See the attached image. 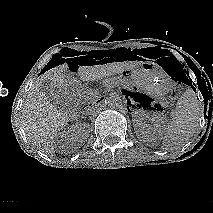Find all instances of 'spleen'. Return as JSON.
Wrapping results in <instances>:
<instances>
[{
    "label": "spleen",
    "instance_id": "spleen-1",
    "mask_svg": "<svg viewBox=\"0 0 213 213\" xmlns=\"http://www.w3.org/2000/svg\"><path fill=\"white\" fill-rule=\"evenodd\" d=\"M202 113V106L195 92L188 88L177 101L173 119L165 131L162 149L172 151L185 145L196 133Z\"/></svg>",
    "mask_w": 213,
    "mask_h": 213
}]
</instances>
